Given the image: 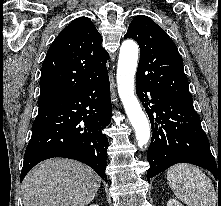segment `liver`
Listing matches in <instances>:
<instances>
[{"mask_svg": "<svg viewBox=\"0 0 221 206\" xmlns=\"http://www.w3.org/2000/svg\"><path fill=\"white\" fill-rule=\"evenodd\" d=\"M101 185L93 169L70 159L36 165L23 181L24 206H86Z\"/></svg>", "mask_w": 221, "mask_h": 206, "instance_id": "liver-1", "label": "liver"}]
</instances>
